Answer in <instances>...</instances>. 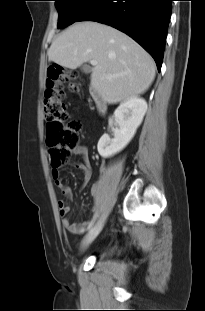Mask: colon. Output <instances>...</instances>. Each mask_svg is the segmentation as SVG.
Masks as SVG:
<instances>
[{
	"instance_id": "5ec220e1",
	"label": "colon",
	"mask_w": 205,
	"mask_h": 311,
	"mask_svg": "<svg viewBox=\"0 0 205 311\" xmlns=\"http://www.w3.org/2000/svg\"><path fill=\"white\" fill-rule=\"evenodd\" d=\"M69 79V74L59 66L47 69L43 111L46 141L54 170L68 161L80 141L81 123L77 120L68 121V112L63 102L64 93L60 89V85Z\"/></svg>"
}]
</instances>
